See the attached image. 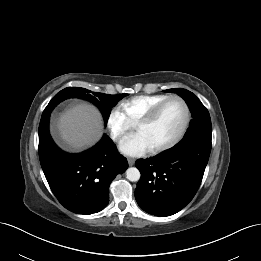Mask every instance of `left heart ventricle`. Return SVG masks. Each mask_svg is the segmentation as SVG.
<instances>
[{
	"instance_id": "obj_1",
	"label": "left heart ventricle",
	"mask_w": 261,
	"mask_h": 261,
	"mask_svg": "<svg viewBox=\"0 0 261 261\" xmlns=\"http://www.w3.org/2000/svg\"><path fill=\"white\" fill-rule=\"evenodd\" d=\"M184 119V111L178 102L169 103L154 122L137 128L150 148L170 141L180 130Z\"/></svg>"
}]
</instances>
